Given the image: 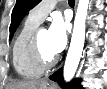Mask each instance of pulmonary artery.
Listing matches in <instances>:
<instances>
[{"label":"pulmonary artery","mask_w":107,"mask_h":89,"mask_svg":"<svg viewBox=\"0 0 107 89\" xmlns=\"http://www.w3.org/2000/svg\"><path fill=\"white\" fill-rule=\"evenodd\" d=\"M57 2V0L42 1L30 11L29 16L40 23L55 7Z\"/></svg>","instance_id":"1"}]
</instances>
